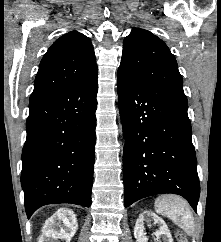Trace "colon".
<instances>
[{
	"mask_svg": "<svg viewBox=\"0 0 221 242\" xmlns=\"http://www.w3.org/2000/svg\"><path fill=\"white\" fill-rule=\"evenodd\" d=\"M177 239H178V242H187L185 236L181 232H178Z\"/></svg>",
	"mask_w": 221,
	"mask_h": 242,
	"instance_id": "1",
	"label": "colon"
}]
</instances>
